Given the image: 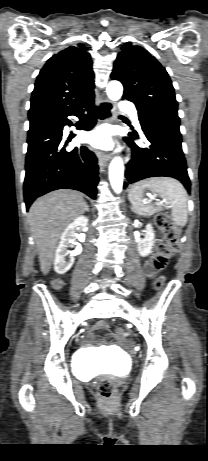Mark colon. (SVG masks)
<instances>
[{
  "instance_id": "obj_1",
  "label": "colon",
  "mask_w": 208,
  "mask_h": 461,
  "mask_svg": "<svg viewBox=\"0 0 208 461\" xmlns=\"http://www.w3.org/2000/svg\"><path fill=\"white\" fill-rule=\"evenodd\" d=\"M155 225L165 237V242L160 246L157 254L148 262L149 268L157 271L167 264L173 252L178 249L180 245V233L178 226L168 214H158L155 217ZM163 282L164 280L160 278L156 282V287L160 288ZM115 334L118 339H125L123 330L117 329ZM96 390L99 397L108 400L114 395L116 384L109 378H103L97 383Z\"/></svg>"
}]
</instances>
